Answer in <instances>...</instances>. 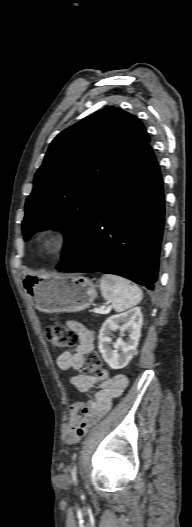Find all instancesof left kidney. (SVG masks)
<instances>
[{
    "mask_svg": "<svg viewBox=\"0 0 192 527\" xmlns=\"http://www.w3.org/2000/svg\"><path fill=\"white\" fill-rule=\"evenodd\" d=\"M142 322L141 309L140 307H135L127 312L112 315L103 323L99 331L98 348L110 368H124L136 354L141 336ZM116 330H120L121 336L124 335V332H128L129 338L126 341L121 337L118 338L113 344L114 349H112L110 347L112 344L110 335Z\"/></svg>",
    "mask_w": 192,
    "mask_h": 527,
    "instance_id": "obj_1",
    "label": "left kidney"
}]
</instances>
